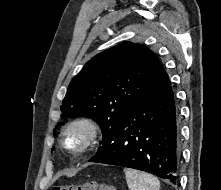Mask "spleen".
<instances>
[{
    "instance_id": "spleen-1",
    "label": "spleen",
    "mask_w": 221,
    "mask_h": 190,
    "mask_svg": "<svg viewBox=\"0 0 221 190\" xmlns=\"http://www.w3.org/2000/svg\"><path fill=\"white\" fill-rule=\"evenodd\" d=\"M129 190H160L159 180L151 174L131 168L124 169Z\"/></svg>"
}]
</instances>
